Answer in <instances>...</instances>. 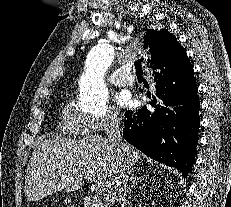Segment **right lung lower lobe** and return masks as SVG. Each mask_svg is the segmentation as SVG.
I'll return each mask as SVG.
<instances>
[{"mask_svg":"<svg viewBox=\"0 0 231 207\" xmlns=\"http://www.w3.org/2000/svg\"><path fill=\"white\" fill-rule=\"evenodd\" d=\"M151 68L157 70L155 95L147 106L125 113L123 136L146 155L176 167L186 177L195 161L200 125L193 67L189 61H182L176 65L160 62Z\"/></svg>","mask_w":231,"mask_h":207,"instance_id":"1","label":"right lung lower lobe"}]
</instances>
